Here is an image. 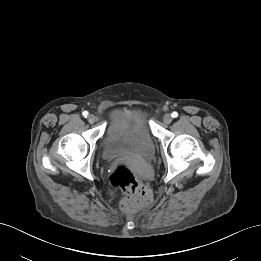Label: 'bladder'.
<instances>
[{"mask_svg": "<svg viewBox=\"0 0 261 261\" xmlns=\"http://www.w3.org/2000/svg\"><path fill=\"white\" fill-rule=\"evenodd\" d=\"M155 144L143 108L126 106L107 125L100 149L105 160L118 157L149 158L154 154Z\"/></svg>", "mask_w": 261, "mask_h": 261, "instance_id": "bladder-1", "label": "bladder"}]
</instances>
